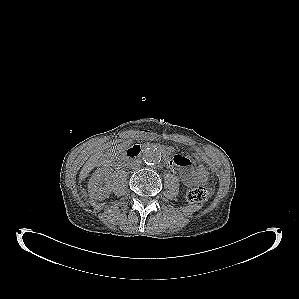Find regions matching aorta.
<instances>
[{
	"mask_svg": "<svg viewBox=\"0 0 299 299\" xmlns=\"http://www.w3.org/2000/svg\"><path fill=\"white\" fill-rule=\"evenodd\" d=\"M162 159L161 150L155 146H149L143 151V160L149 165H156Z\"/></svg>",
	"mask_w": 299,
	"mask_h": 299,
	"instance_id": "1",
	"label": "aorta"
}]
</instances>
